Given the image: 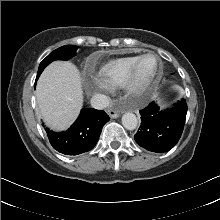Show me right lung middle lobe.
Here are the masks:
<instances>
[{"label":"right lung middle lobe","mask_w":220,"mask_h":220,"mask_svg":"<svg viewBox=\"0 0 220 220\" xmlns=\"http://www.w3.org/2000/svg\"><path fill=\"white\" fill-rule=\"evenodd\" d=\"M78 46L66 45L51 52L39 65L38 74L54 60H68L75 55Z\"/></svg>","instance_id":"obj_1"}]
</instances>
